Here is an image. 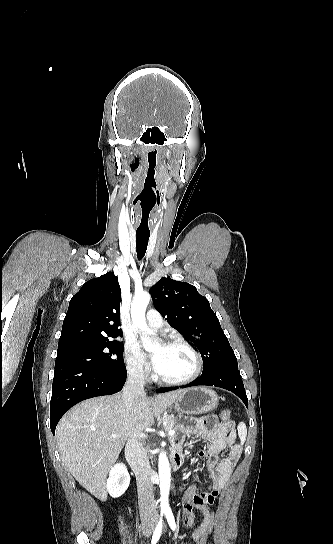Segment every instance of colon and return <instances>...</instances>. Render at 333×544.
<instances>
[{
    "label": "colon",
    "instance_id": "5ec220e1",
    "mask_svg": "<svg viewBox=\"0 0 333 544\" xmlns=\"http://www.w3.org/2000/svg\"><path fill=\"white\" fill-rule=\"evenodd\" d=\"M232 417V411L230 409H223L221 412H220V419L223 421V422H229L230 419Z\"/></svg>",
    "mask_w": 333,
    "mask_h": 544
}]
</instances>
